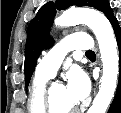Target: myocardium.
<instances>
[{
    "mask_svg": "<svg viewBox=\"0 0 121 113\" xmlns=\"http://www.w3.org/2000/svg\"><path fill=\"white\" fill-rule=\"evenodd\" d=\"M51 93H52V87H50L48 90L45 91L46 110L48 111V113H57L54 111ZM75 110H76V108H74L66 113H73Z\"/></svg>",
    "mask_w": 121,
    "mask_h": 113,
    "instance_id": "obj_1",
    "label": "myocardium"
}]
</instances>
